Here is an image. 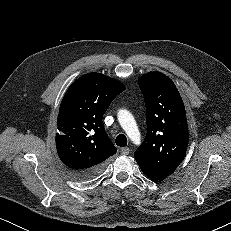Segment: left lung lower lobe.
<instances>
[{
	"label": "left lung lower lobe",
	"mask_w": 231,
	"mask_h": 231,
	"mask_svg": "<svg viewBox=\"0 0 231 231\" xmlns=\"http://www.w3.org/2000/svg\"><path fill=\"white\" fill-rule=\"evenodd\" d=\"M139 167L141 168V170L143 171V173L150 178L151 180L158 182V181H162L163 179H165L167 176H163L160 174H157L153 171H151L150 169H148L147 167L143 166L142 164L138 163Z\"/></svg>",
	"instance_id": "1"
}]
</instances>
